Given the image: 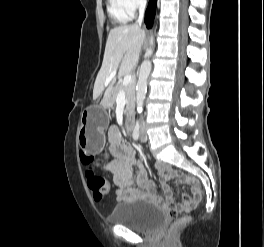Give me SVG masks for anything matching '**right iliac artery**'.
Returning <instances> with one entry per match:
<instances>
[{"instance_id": "obj_1", "label": "right iliac artery", "mask_w": 264, "mask_h": 247, "mask_svg": "<svg viewBox=\"0 0 264 247\" xmlns=\"http://www.w3.org/2000/svg\"><path fill=\"white\" fill-rule=\"evenodd\" d=\"M139 136H140V126H139V123L137 122L135 127H134V131H133L134 140H138Z\"/></svg>"}]
</instances>
